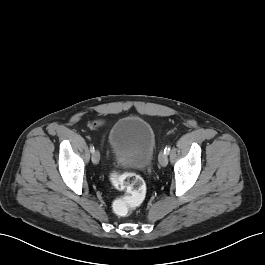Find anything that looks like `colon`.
<instances>
[{
  "instance_id": "5ec220e1",
  "label": "colon",
  "mask_w": 265,
  "mask_h": 265,
  "mask_svg": "<svg viewBox=\"0 0 265 265\" xmlns=\"http://www.w3.org/2000/svg\"><path fill=\"white\" fill-rule=\"evenodd\" d=\"M112 185L120 190H125V199L115 204V212L119 216L128 215L132 209L141 204L145 196V185L143 180L136 174L128 172L122 175L114 174L111 177Z\"/></svg>"
}]
</instances>
